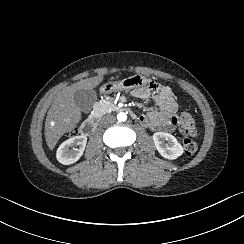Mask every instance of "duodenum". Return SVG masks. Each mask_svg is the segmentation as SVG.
<instances>
[{"label":"duodenum","mask_w":244,"mask_h":244,"mask_svg":"<svg viewBox=\"0 0 244 244\" xmlns=\"http://www.w3.org/2000/svg\"><path fill=\"white\" fill-rule=\"evenodd\" d=\"M120 110L123 109V107L119 108ZM124 111H126L132 118L137 119V114L133 112L129 108H124ZM99 120V114L93 113L91 114L80 126V132L84 136H90L94 130L96 129L97 123Z\"/></svg>","instance_id":"obj_1"}]
</instances>
